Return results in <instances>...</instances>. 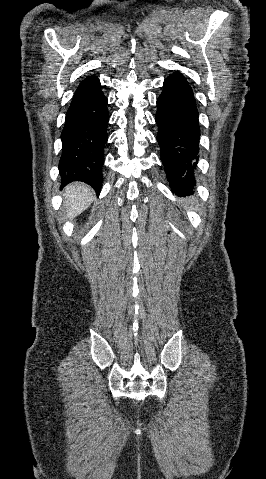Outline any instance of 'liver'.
<instances>
[{"mask_svg": "<svg viewBox=\"0 0 266 479\" xmlns=\"http://www.w3.org/2000/svg\"><path fill=\"white\" fill-rule=\"evenodd\" d=\"M66 219H73L86 210L94 200L93 190L82 183H72L64 191Z\"/></svg>", "mask_w": 266, "mask_h": 479, "instance_id": "1", "label": "liver"}]
</instances>
